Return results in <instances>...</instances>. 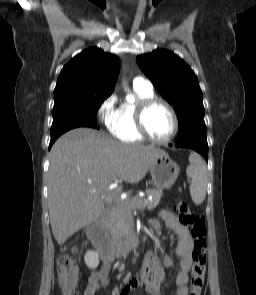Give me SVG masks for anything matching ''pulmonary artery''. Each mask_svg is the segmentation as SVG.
Wrapping results in <instances>:
<instances>
[{"mask_svg": "<svg viewBox=\"0 0 256 295\" xmlns=\"http://www.w3.org/2000/svg\"><path fill=\"white\" fill-rule=\"evenodd\" d=\"M133 86L136 87V88H142V89H146V90H153V86H152V83L143 78V77H136L134 80H133Z\"/></svg>", "mask_w": 256, "mask_h": 295, "instance_id": "e3ab8cb5", "label": "pulmonary artery"}]
</instances>
